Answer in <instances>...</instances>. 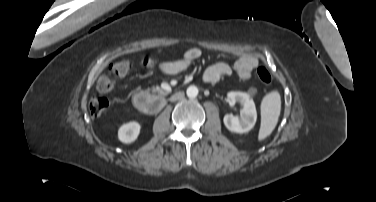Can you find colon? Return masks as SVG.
Here are the masks:
<instances>
[{
    "label": "colon",
    "instance_id": "colon-1",
    "mask_svg": "<svg viewBox=\"0 0 376 202\" xmlns=\"http://www.w3.org/2000/svg\"><path fill=\"white\" fill-rule=\"evenodd\" d=\"M145 66L154 64L153 59L145 58L142 62ZM131 69V62L127 60L115 62L110 65L106 74L99 77L97 81V91L100 94L110 92L115 86L116 77L126 75ZM258 80L263 84H269L272 81V75L266 67H259L256 72ZM108 108V100L100 95H93L89 102V110L92 117L101 116Z\"/></svg>",
    "mask_w": 376,
    "mask_h": 202
}]
</instances>
